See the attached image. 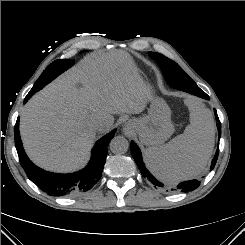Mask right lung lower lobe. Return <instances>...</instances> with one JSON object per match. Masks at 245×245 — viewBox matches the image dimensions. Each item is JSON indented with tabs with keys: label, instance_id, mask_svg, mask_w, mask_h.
Instances as JSON below:
<instances>
[{
	"label": "right lung lower lobe",
	"instance_id": "obj_1",
	"mask_svg": "<svg viewBox=\"0 0 245 245\" xmlns=\"http://www.w3.org/2000/svg\"><path fill=\"white\" fill-rule=\"evenodd\" d=\"M29 92L24 102L33 95ZM116 130L102 137L92 149V158L86 168L72 174H56L46 172L34 165L27 157L19 134V117L14 127L15 146L19 161L28 178L51 196H72L85 192L93 187L101 178L106 161L107 146Z\"/></svg>",
	"mask_w": 245,
	"mask_h": 245
}]
</instances>
